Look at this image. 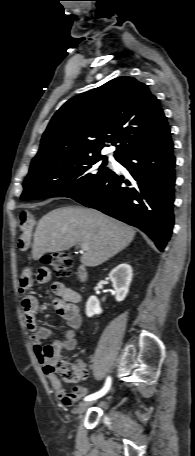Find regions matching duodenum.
<instances>
[{"label": "duodenum", "instance_id": "1", "mask_svg": "<svg viewBox=\"0 0 195 456\" xmlns=\"http://www.w3.org/2000/svg\"><path fill=\"white\" fill-rule=\"evenodd\" d=\"M80 280L85 281L88 277L87 269L85 266H80L77 271Z\"/></svg>", "mask_w": 195, "mask_h": 456}]
</instances>
